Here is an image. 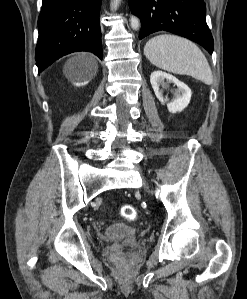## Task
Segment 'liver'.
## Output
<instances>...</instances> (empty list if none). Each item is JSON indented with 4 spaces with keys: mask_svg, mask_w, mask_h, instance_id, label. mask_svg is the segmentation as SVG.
I'll list each match as a JSON object with an SVG mask.
<instances>
[{
    "mask_svg": "<svg viewBox=\"0 0 247 299\" xmlns=\"http://www.w3.org/2000/svg\"><path fill=\"white\" fill-rule=\"evenodd\" d=\"M79 68L84 70L86 78H91L96 75L98 70V64L95 57L88 53H80L70 59L66 64V70ZM83 73V72H82ZM79 79V78H76Z\"/></svg>",
    "mask_w": 247,
    "mask_h": 299,
    "instance_id": "1",
    "label": "liver"
}]
</instances>
